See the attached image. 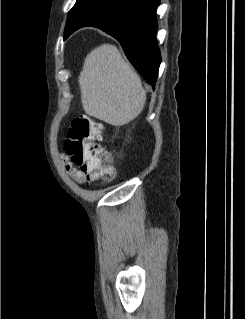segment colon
I'll use <instances>...</instances> for the list:
<instances>
[{"label":"colon","mask_w":245,"mask_h":319,"mask_svg":"<svg viewBox=\"0 0 245 319\" xmlns=\"http://www.w3.org/2000/svg\"><path fill=\"white\" fill-rule=\"evenodd\" d=\"M102 133L100 123L83 115L75 117L67 131L65 151L89 182H109L115 174L110 153L98 143Z\"/></svg>","instance_id":"obj_1"}]
</instances>
